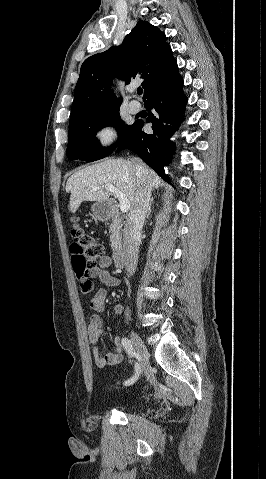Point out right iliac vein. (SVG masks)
I'll use <instances>...</instances> for the list:
<instances>
[{"label": "right iliac vein", "mask_w": 266, "mask_h": 479, "mask_svg": "<svg viewBox=\"0 0 266 479\" xmlns=\"http://www.w3.org/2000/svg\"><path fill=\"white\" fill-rule=\"evenodd\" d=\"M130 338L134 349L140 358V370L143 372L147 369L148 365V351L140 336L135 331H131Z\"/></svg>", "instance_id": "1"}]
</instances>
